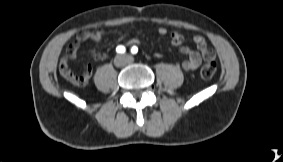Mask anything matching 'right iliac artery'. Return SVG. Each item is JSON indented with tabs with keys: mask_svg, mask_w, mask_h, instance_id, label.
<instances>
[{
	"mask_svg": "<svg viewBox=\"0 0 283 162\" xmlns=\"http://www.w3.org/2000/svg\"><path fill=\"white\" fill-rule=\"evenodd\" d=\"M116 51L118 53H124L125 52V47L122 45L117 46Z\"/></svg>",
	"mask_w": 283,
	"mask_h": 162,
	"instance_id": "82829eb1",
	"label": "right iliac artery"
}]
</instances>
